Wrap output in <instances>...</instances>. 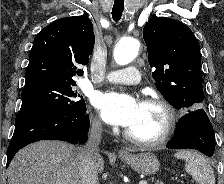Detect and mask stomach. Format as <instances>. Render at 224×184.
<instances>
[{"label": "stomach", "instance_id": "obj_1", "mask_svg": "<svg viewBox=\"0 0 224 184\" xmlns=\"http://www.w3.org/2000/svg\"><path fill=\"white\" fill-rule=\"evenodd\" d=\"M120 158L134 171L147 176L155 174L160 167L157 157L152 153L130 154L128 157Z\"/></svg>", "mask_w": 224, "mask_h": 184}]
</instances>
